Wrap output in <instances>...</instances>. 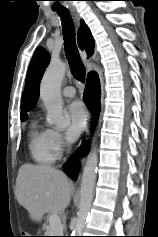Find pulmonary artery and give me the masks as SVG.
I'll return each instance as SVG.
<instances>
[{"mask_svg": "<svg viewBox=\"0 0 158 237\" xmlns=\"http://www.w3.org/2000/svg\"><path fill=\"white\" fill-rule=\"evenodd\" d=\"M75 88L72 87V86H67L65 88H63L62 90V94L64 97H67V98H72L75 96Z\"/></svg>", "mask_w": 158, "mask_h": 237, "instance_id": "obj_1", "label": "pulmonary artery"}]
</instances>
